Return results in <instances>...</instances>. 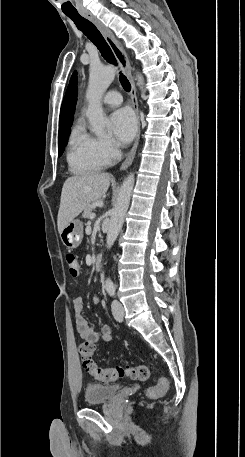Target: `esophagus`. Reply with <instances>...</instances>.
<instances>
[{
    "mask_svg": "<svg viewBox=\"0 0 245 457\" xmlns=\"http://www.w3.org/2000/svg\"><path fill=\"white\" fill-rule=\"evenodd\" d=\"M81 15L83 17L87 18L88 20H90V22H92L97 27V29L102 34V36L106 40L107 44L111 48L113 54L117 58L122 71L127 76L128 80L131 84L130 96H131L134 111L137 115L138 124H137V132H136V138H135L134 145H133L128 157L126 158V160L122 163V165L120 167V170H126V168H128L129 165H131V163L134 159L136 149L138 146V142H139V138H140V120H139L138 101H137V97H136V87H135L134 79H133L132 73H131L130 62H129V59L127 57L125 50L116 40L113 33L107 27H105V25H103V23L100 22V20H98L94 15H92L89 12H86V13L81 12Z\"/></svg>",
    "mask_w": 245,
    "mask_h": 457,
    "instance_id": "1",
    "label": "esophagus"
}]
</instances>
